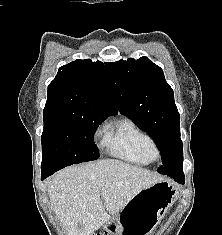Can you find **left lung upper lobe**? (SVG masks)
<instances>
[{
  "label": "left lung upper lobe",
  "mask_w": 222,
  "mask_h": 235,
  "mask_svg": "<svg viewBox=\"0 0 222 235\" xmlns=\"http://www.w3.org/2000/svg\"><path fill=\"white\" fill-rule=\"evenodd\" d=\"M105 65L120 113L150 135L161 151L157 172L184 175L180 115L163 70L147 57Z\"/></svg>",
  "instance_id": "obj_1"
}]
</instances>
